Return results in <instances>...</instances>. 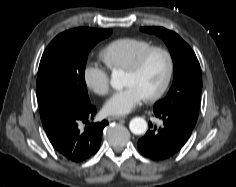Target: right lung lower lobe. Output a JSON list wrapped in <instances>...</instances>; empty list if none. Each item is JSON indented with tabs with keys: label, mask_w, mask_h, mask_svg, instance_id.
Instances as JSON below:
<instances>
[{
	"label": "right lung lower lobe",
	"mask_w": 236,
	"mask_h": 187,
	"mask_svg": "<svg viewBox=\"0 0 236 187\" xmlns=\"http://www.w3.org/2000/svg\"><path fill=\"white\" fill-rule=\"evenodd\" d=\"M96 108L89 102L75 112L61 117L47 130V135L53 147L64 158L72 162H82L94 155L101 143L106 120L97 123H87L93 119ZM80 122L86 123L84 131H80Z\"/></svg>",
	"instance_id": "1"
}]
</instances>
